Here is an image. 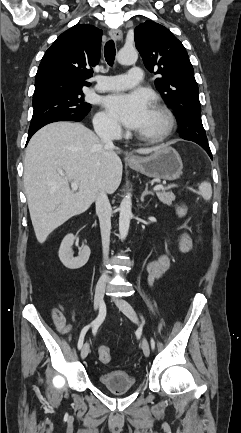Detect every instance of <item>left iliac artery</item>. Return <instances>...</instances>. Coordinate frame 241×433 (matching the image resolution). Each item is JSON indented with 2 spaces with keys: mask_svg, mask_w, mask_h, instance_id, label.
Instances as JSON below:
<instances>
[{
  "mask_svg": "<svg viewBox=\"0 0 241 433\" xmlns=\"http://www.w3.org/2000/svg\"><path fill=\"white\" fill-rule=\"evenodd\" d=\"M141 319H142V323L144 324L145 323V319L143 318V316H141ZM150 343H151L152 349H154L155 348V341H154L153 338H151Z\"/></svg>",
  "mask_w": 241,
  "mask_h": 433,
  "instance_id": "1",
  "label": "left iliac artery"
}]
</instances>
